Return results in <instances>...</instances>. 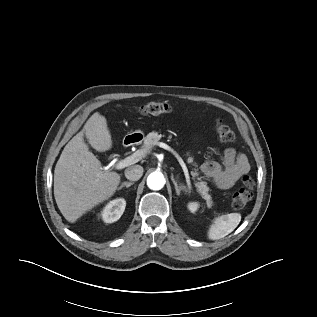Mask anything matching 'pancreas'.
<instances>
[{"label": "pancreas", "mask_w": 317, "mask_h": 317, "mask_svg": "<svg viewBox=\"0 0 317 317\" xmlns=\"http://www.w3.org/2000/svg\"><path fill=\"white\" fill-rule=\"evenodd\" d=\"M164 137V135L159 134L158 132L154 131L149 133L145 140H144V145L142 146L143 151L148 152L149 150H151L155 145H157L159 143V140ZM188 157V162L192 165L194 164V158L192 156H190V153H187ZM199 172L197 169H194V176H198ZM199 180V182L195 183V186L197 188V192L207 201V205L208 207H212V201H211V196L209 195L208 191L209 188L207 186V183L205 181H202V177H198L197 178Z\"/></svg>", "instance_id": "1"}]
</instances>
